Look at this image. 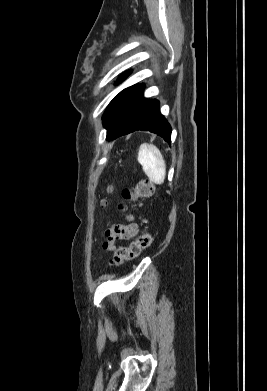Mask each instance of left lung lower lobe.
I'll return each instance as SVG.
<instances>
[{"label": "left lung lower lobe", "mask_w": 267, "mask_h": 391, "mask_svg": "<svg viewBox=\"0 0 267 391\" xmlns=\"http://www.w3.org/2000/svg\"><path fill=\"white\" fill-rule=\"evenodd\" d=\"M150 131L171 142V126L159 112V102L143 97V86H136L119 104L108 127L107 140L137 131Z\"/></svg>", "instance_id": "0a47b994"}]
</instances>
